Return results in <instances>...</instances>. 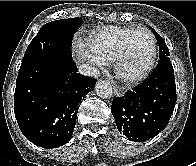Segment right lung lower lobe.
<instances>
[{"label": "right lung lower lobe", "mask_w": 196, "mask_h": 166, "mask_svg": "<svg viewBox=\"0 0 196 166\" xmlns=\"http://www.w3.org/2000/svg\"><path fill=\"white\" fill-rule=\"evenodd\" d=\"M77 72L72 58L56 54L22 60L14 113L20 130L35 145L52 149L70 141L82 98L97 81Z\"/></svg>", "instance_id": "1"}]
</instances>
